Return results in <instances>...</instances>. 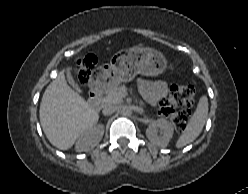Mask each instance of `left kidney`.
I'll return each mask as SVG.
<instances>
[{"mask_svg": "<svg viewBox=\"0 0 248 194\" xmlns=\"http://www.w3.org/2000/svg\"><path fill=\"white\" fill-rule=\"evenodd\" d=\"M157 128H160V134H158ZM173 131L172 124L166 119L160 118L148 125L146 136L155 145L166 147L173 136Z\"/></svg>", "mask_w": 248, "mask_h": 194, "instance_id": "5707ae66", "label": "left kidney"}]
</instances>
